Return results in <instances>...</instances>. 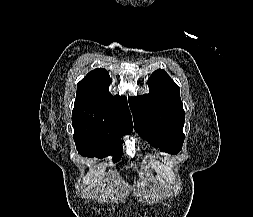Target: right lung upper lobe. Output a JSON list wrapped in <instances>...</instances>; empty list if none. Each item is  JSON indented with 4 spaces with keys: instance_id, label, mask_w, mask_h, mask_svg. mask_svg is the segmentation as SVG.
Here are the masks:
<instances>
[{
    "instance_id": "obj_1",
    "label": "right lung upper lobe",
    "mask_w": 253,
    "mask_h": 217,
    "mask_svg": "<svg viewBox=\"0 0 253 217\" xmlns=\"http://www.w3.org/2000/svg\"><path fill=\"white\" fill-rule=\"evenodd\" d=\"M111 82L105 69L97 68L89 72L77 84L72 118L132 123L127 99L112 96L109 92ZM128 102H131L130 98Z\"/></svg>"
}]
</instances>
